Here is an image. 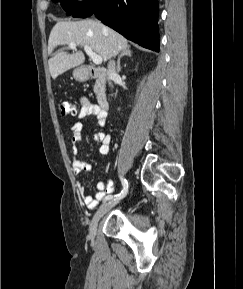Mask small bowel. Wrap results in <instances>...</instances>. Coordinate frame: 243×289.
<instances>
[{"label": "small bowel", "mask_w": 243, "mask_h": 289, "mask_svg": "<svg viewBox=\"0 0 243 289\" xmlns=\"http://www.w3.org/2000/svg\"><path fill=\"white\" fill-rule=\"evenodd\" d=\"M95 116L97 119V123L100 127H104L106 125L107 120V112L102 110L95 104L90 103L87 99H81V108L79 112L76 114L77 121L71 123L69 125V130L72 133L71 143H72V160H71V168L75 175H79L81 172H91L92 165L78 157L79 147L78 142L81 140V131L82 124L78 121L87 116ZM94 140L100 144L99 152L101 155H107L110 152V145L112 141V137L110 134L104 132H97L93 136ZM97 192L95 196H91L86 191V186L81 182H77V190L82 198L84 204L89 208H95L99 202L105 199L106 195L113 192V185L106 184L104 181H98L96 184Z\"/></svg>", "instance_id": "1"}]
</instances>
